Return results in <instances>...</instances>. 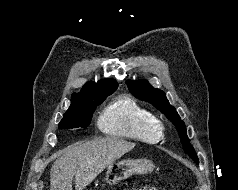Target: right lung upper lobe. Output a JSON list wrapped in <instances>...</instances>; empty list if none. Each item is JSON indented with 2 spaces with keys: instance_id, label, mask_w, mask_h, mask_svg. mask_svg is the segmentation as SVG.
Wrapping results in <instances>:
<instances>
[{
  "instance_id": "right-lung-upper-lobe-1",
  "label": "right lung upper lobe",
  "mask_w": 238,
  "mask_h": 190,
  "mask_svg": "<svg viewBox=\"0 0 238 190\" xmlns=\"http://www.w3.org/2000/svg\"><path fill=\"white\" fill-rule=\"evenodd\" d=\"M118 87L116 80L105 79L99 82H88L84 85L81 92L73 93L71 106L76 107L81 104L82 100L99 94L113 93Z\"/></svg>"
}]
</instances>
